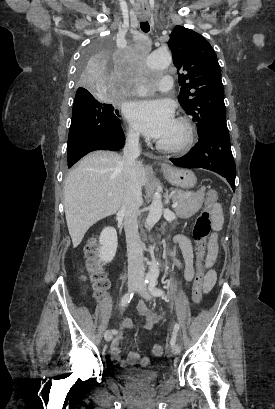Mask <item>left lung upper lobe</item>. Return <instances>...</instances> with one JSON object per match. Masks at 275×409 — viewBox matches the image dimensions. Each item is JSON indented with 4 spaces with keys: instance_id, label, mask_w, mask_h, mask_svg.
Instances as JSON below:
<instances>
[{
    "instance_id": "left-lung-upper-lobe-1",
    "label": "left lung upper lobe",
    "mask_w": 275,
    "mask_h": 409,
    "mask_svg": "<svg viewBox=\"0 0 275 409\" xmlns=\"http://www.w3.org/2000/svg\"><path fill=\"white\" fill-rule=\"evenodd\" d=\"M181 86L179 102L197 122L198 135L227 129L221 69L211 45L198 33L175 26L168 41Z\"/></svg>"
}]
</instances>
